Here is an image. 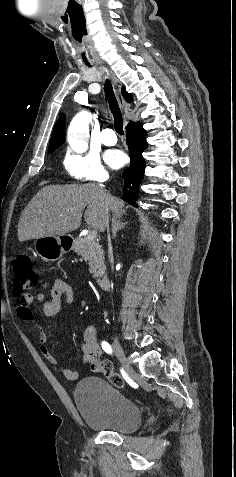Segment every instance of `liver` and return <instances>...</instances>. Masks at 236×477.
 I'll return each instance as SVG.
<instances>
[{
	"mask_svg": "<svg viewBox=\"0 0 236 477\" xmlns=\"http://www.w3.org/2000/svg\"><path fill=\"white\" fill-rule=\"evenodd\" d=\"M120 215L124 202L93 184L48 185L22 211L18 222L20 242L45 236H63L77 230L84 218L89 226L104 231L103 208Z\"/></svg>",
	"mask_w": 236,
	"mask_h": 477,
	"instance_id": "obj_1",
	"label": "liver"
}]
</instances>
